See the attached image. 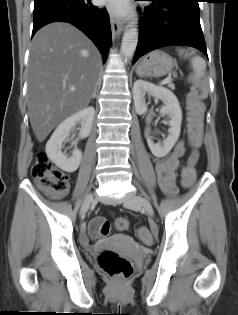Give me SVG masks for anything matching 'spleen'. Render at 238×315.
<instances>
[{
	"label": "spleen",
	"instance_id": "obj_1",
	"mask_svg": "<svg viewBox=\"0 0 238 315\" xmlns=\"http://www.w3.org/2000/svg\"><path fill=\"white\" fill-rule=\"evenodd\" d=\"M191 67L193 69V73L188 77L189 82L199 79L204 74L206 62L202 57L195 56L191 60Z\"/></svg>",
	"mask_w": 238,
	"mask_h": 315
}]
</instances>
